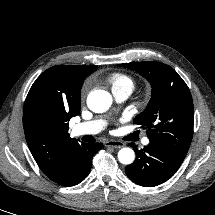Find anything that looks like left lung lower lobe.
Returning <instances> with one entry per match:
<instances>
[{
  "instance_id": "left-lung-lower-lobe-1",
  "label": "left lung lower lobe",
  "mask_w": 215,
  "mask_h": 215,
  "mask_svg": "<svg viewBox=\"0 0 215 215\" xmlns=\"http://www.w3.org/2000/svg\"><path fill=\"white\" fill-rule=\"evenodd\" d=\"M129 145L135 149L136 160L125 168V172L130 180L144 187L157 186L168 180L185 158L154 142L141 150L133 143Z\"/></svg>"
}]
</instances>
